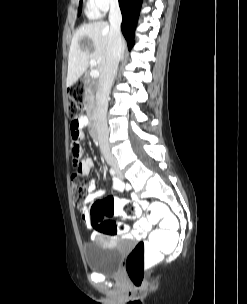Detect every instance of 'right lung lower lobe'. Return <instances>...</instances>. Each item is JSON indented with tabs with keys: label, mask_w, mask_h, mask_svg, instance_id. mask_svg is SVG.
Instances as JSON below:
<instances>
[{
	"label": "right lung lower lobe",
	"mask_w": 247,
	"mask_h": 304,
	"mask_svg": "<svg viewBox=\"0 0 247 304\" xmlns=\"http://www.w3.org/2000/svg\"><path fill=\"white\" fill-rule=\"evenodd\" d=\"M142 0H119L122 13L121 30L127 40L128 48L134 45V31L138 21Z\"/></svg>",
	"instance_id": "1"
}]
</instances>
